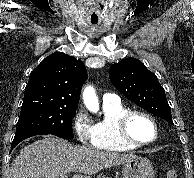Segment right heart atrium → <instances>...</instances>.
<instances>
[{
	"label": "right heart atrium",
	"mask_w": 194,
	"mask_h": 178,
	"mask_svg": "<svg viewBox=\"0 0 194 178\" xmlns=\"http://www.w3.org/2000/svg\"><path fill=\"white\" fill-rule=\"evenodd\" d=\"M72 126L78 141L83 146L93 145V124L88 113L84 109L80 108L75 112L72 118Z\"/></svg>",
	"instance_id": "1"
}]
</instances>
